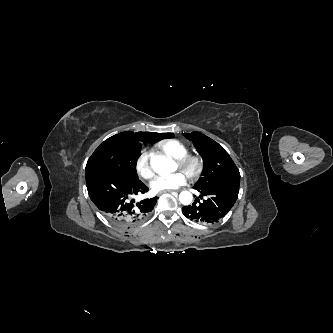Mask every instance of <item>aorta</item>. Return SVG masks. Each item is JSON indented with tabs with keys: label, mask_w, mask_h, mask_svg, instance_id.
I'll return each instance as SVG.
<instances>
[{
	"label": "aorta",
	"mask_w": 333,
	"mask_h": 333,
	"mask_svg": "<svg viewBox=\"0 0 333 333\" xmlns=\"http://www.w3.org/2000/svg\"><path fill=\"white\" fill-rule=\"evenodd\" d=\"M150 164L159 175H167L177 169V164L173 159L161 155L152 157ZM192 198V194L188 191L181 192L179 195V200L183 205H189Z\"/></svg>",
	"instance_id": "762f6f07"
}]
</instances>
